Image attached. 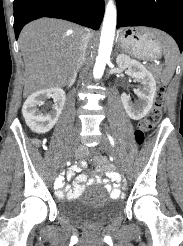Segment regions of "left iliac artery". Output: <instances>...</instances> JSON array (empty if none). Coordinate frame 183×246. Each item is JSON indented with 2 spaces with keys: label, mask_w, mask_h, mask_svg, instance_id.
<instances>
[{
  "label": "left iliac artery",
  "mask_w": 183,
  "mask_h": 246,
  "mask_svg": "<svg viewBox=\"0 0 183 246\" xmlns=\"http://www.w3.org/2000/svg\"><path fill=\"white\" fill-rule=\"evenodd\" d=\"M107 136H108V139H109L110 143L114 146L113 138L109 134H107Z\"/></svg>",
  "instance_id": "44dca946"
}]
</instances>
